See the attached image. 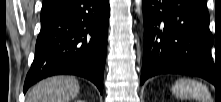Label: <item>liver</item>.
<instances>
[{
  "label": "liver",
  "mask_w": 221,
  "mask_h": 102,
  "mask_svg": "<svg viewBox=\"0 0 221 102\" xmlns=\"http://www.w3.org/2000/svg\"><path fill=\"white\" fill-rule=\"evenodd\" d=\"M79 91V83L74 77L55 76L36 84L26 102H70Z\"/></svg>",
  "instance_id": "1"
}]
</instances>
